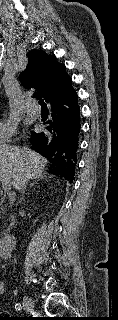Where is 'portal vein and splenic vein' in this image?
Returning <instances> with one entry per match:
<instances>
[{"mask_svg":"<svg viewBox=\"0 0 118 320\" xmlns=\"http://www.w3.org/2000/svg\"><path fill=\"white\" fill-rule=\"evenodd\" d=\"M0 182L2 183V187L4 191H9L11 190V181L5 178H0Z\"/></svg>","mask_w":118,"mask_h":320,"instance_id":"portal-vein-and-splenic-vein-1","label":"portal vein and splenic vein"}]
</instances>
